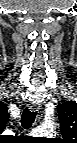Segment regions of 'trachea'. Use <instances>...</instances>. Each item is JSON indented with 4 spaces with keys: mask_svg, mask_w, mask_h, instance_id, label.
<instances>
[{
    "mask_svg": "<svg viewBox=\"0 0 77 143\" xmlns=\"http://www.w3.org/2000/svg\"><path fill=\"white\" fill-rule=\"evenodd\" d=\"M37 111H30L27 108L24 109L22 116H21V125L24 129H28L33 124Z\"/></svg>",
    "mask_w": 77,
    "mask_h": 143,
    "instance_id": "trachea-1",
    "label": "trachea"
}]
</instances>
